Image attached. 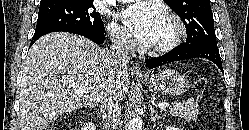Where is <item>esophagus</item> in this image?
I'll list each match as a JSON object with an SVG mask.
<instances>
[{
  "mask_svg": "<svg viewBox=\"0 0 249 130\" xmlns=\"http://www.w3.org/2000/svg\"><path fill=\"white\" fill-rule=\"evenodd\" d=\"M132 72L134 75L139 76V77L145 76V72L141 69V67L138 64L133 65Z\"/></svg>",
  "mask_w": 249,
  "mask_h": 130,
  "instance_id": "esophagus-1",
  "label": "esophagus"
}]
</instances>
